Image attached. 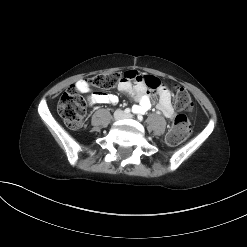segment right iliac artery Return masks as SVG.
I'll list each match as a JSON object with an SVG mask.
<instances>
[{"label":"right iliac artery","instance_id":"right-iliac-artery-1","mask_svg":"<svg viewBox=\"0 0 247 247\" xmlns=\"http://www.w3.org/2000/svg\"><path fill=\"white\" fill-rule=\"evenodd\" d=\"M130 111H131L130 108H126V109L124 110V113H125V114H129Z\"/></svg>","mask_w":247,"mask_h":247}]
</instances>
